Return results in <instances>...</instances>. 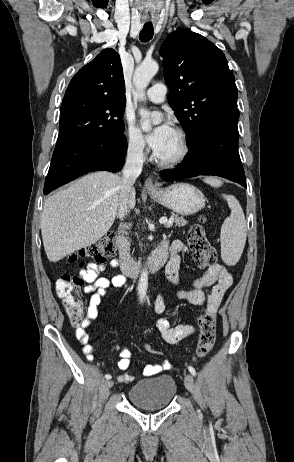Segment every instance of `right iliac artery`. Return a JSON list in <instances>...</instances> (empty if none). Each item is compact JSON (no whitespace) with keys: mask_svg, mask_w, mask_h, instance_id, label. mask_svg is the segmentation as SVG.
I'll return each instance as SVG.
<instances>
[{"mask_svg":"<svg viewBox=\"0 0 294 462\" xmlns=\"http://www.w3.org/2000/svg\"><path fill=\"white\" fill-rule=\"evenodd\" d=\"M105 378H106L107 380H110V379H111V375L106 374V375H105Z\"/></svg>","mask_w":294,"mask_h":462,"instance_id":"obj_1","label":"right iliac artery"}]
</instances>
